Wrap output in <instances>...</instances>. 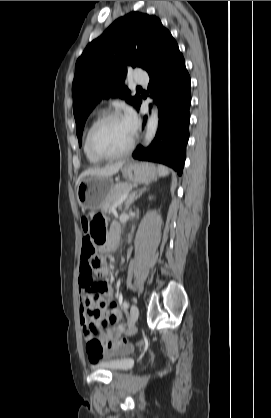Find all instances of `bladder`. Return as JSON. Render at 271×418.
Instances as JSON below:
<instances>
[{
	"mask_svg": "<svg viewBox=\"0 0 271 418\" xmlns=\"http://www.w3.org/2000/svg\"><path fill=\"white\" fill-rule=\"evenodd\" d=\"M129 353V350L123 351L116 356L101 362L98 367L113 373L126 371L132 365Z\"/></svg>",
	"mask_w": 271,
	"mask_h": 418,
	"instance_id": "obj_1",
	"label": "bladder"
}]
</instances>
